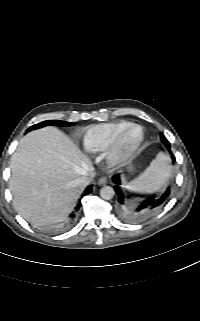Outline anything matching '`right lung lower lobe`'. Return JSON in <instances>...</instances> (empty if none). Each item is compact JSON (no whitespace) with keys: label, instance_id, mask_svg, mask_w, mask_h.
Masks as SVG:
<instances>
[{"label":"right lung lower lobe","instance_id":"obj_1","mask_svg":"<svg viewBox=\"0 0 200 321\" xmlns=\"http://www.w3.org/2000/svg\"><path fill=\"white\" fill-rule=\"evenodd\" d=\"M91 191H92V187H91V186H88V187L86 188V190L84 191V194H83V195H86V194L90 193ZM80 206H81V203L79 202V204H78L77 207H76V211L79 210ZM74 217H75V214H71V218H74Z\"/></svg>","mask_w":200,"mask_h":321}]
</instances>
